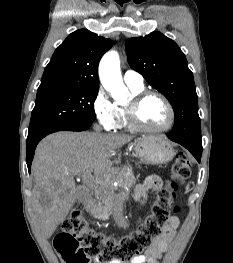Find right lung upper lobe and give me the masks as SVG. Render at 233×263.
Returning <instances> with one entry per match:
<instances>
[{"mask_svg": "<svg viewBox=\"0 0 233 263\" xmlns=\"http://www.w3.org/2000/svg\"><path fill=\"white\" fill-rule=\"evenodd\" d=\"M113 45L86 29L70 34L46 66L37 95L71 88H99L98 64Z\"/></svg>", "mask_w": 233, "mask_h": 263, "instance_id": "cb5924a9", "label": "right lung upper lobe"}]
</instances>
